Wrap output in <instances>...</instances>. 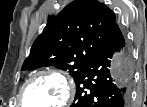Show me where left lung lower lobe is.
<instances>
[{"label": "left lung lower lobe", "mask_w": 147, "mask_h": 107, "mask_svg": "<svg viewBox=\"0 0 147 107\" xmlns=\"http://www.w3.org/2000/svg\"><path fill=\"white\" fill-rule=\"evenodd\" d=\"M114 51L127 56L125 39L116 24L107 40L87 62L76 83V95L71 107H127L130 97L131 75L115 82L108 68Z\"/></svg>", "instance_id": "left-lung-lower-lobe-1"}]
</instances>
